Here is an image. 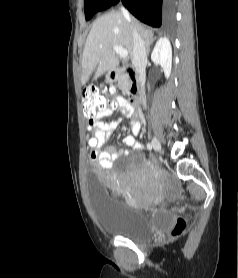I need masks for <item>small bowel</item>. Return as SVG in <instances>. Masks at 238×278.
Returning a JSON list of instances; mask_svg holds the SVG:
<instances>
[{
  "label": "small bowel",
  "mask_w": 238,
  "mask_h": 278,
  "mask_svg": "<svg viewBox=\"0 0 238 278\" xmlns=\"http://www.w3.org/2000/svg\"><path fill=\"white\" fill-rule=\"evenodd\" d=\"M115 104L122 110L125 117L129 119L132 132V135H126L122 139L123 144L130 150H140L142 146L135 139V136H137L141 130L138 114L130 106H128L125 100L120 96L116 97ZM112 112V109H106L97 116V120L94 122V141H97L98 145L95 146L92 153L89 151L90 158L96 162L98 166L104 169L110 168L116 159L129 153L128 150H121L113 146L105 149L103 148L111 138L112 133L123 122L122 118L111 122L105 121L104 119L109 117Z\"/></svg>",
  "instance_id": "small-bowel-1"
}]
</instances>
